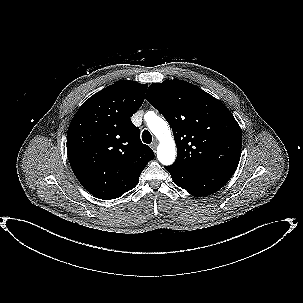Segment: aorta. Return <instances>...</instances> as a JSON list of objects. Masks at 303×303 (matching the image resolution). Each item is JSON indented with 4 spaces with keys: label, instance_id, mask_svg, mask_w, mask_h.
Wrapping results in <instances>:
<instances>
[{
    "label": "aorta",
    "instance_id": "obj_1",
    "mask_svg": "<svg viewBox=\"0 0 303 303\" xmlns=\"http://www.w3.org/2000/svg\"><path fill=\"white\" fill-rule=\"evenodd\" d=\"M145 119L151 132L159 140L157 158L163 165H171L176 158V146L168 123L161 117L146 114Z\"/></svg>",
    "mask_w": 303,
    "mask_h": 303
}]
</instances>
